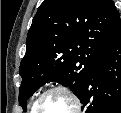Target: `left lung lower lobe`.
Listing matches in <instances>:
<instances>
[{"label":"left lung lower lobe","mask_w":121,"mask_h":113,"mask_svg":"<svg viewBox=\"0 0 121 113\" xmlns=\"http://www.w3.org/2000/svg\"><path fill=\"white\" fill-rule=\"evenodd\" d=\"M79 99L85 113H121V24L97 61Z\"/></svg>","instance_id":"1"}]
</instances>
